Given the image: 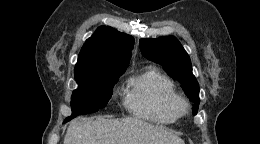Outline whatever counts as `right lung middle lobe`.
Wrapping results in <instances>:
<instances>
[{"mask_svg":"<svg viewBox=\"0 0 260 144\" xmlns=\"http://www.w3.org/2000/svg\"><path fill=\"white\" fill-rule=\"evenodd\" d=\"M124 72L125 70H121L75 76L78 88L73 91L71 97L72 115L64 122L104 108L111 98L115 83Z\"/></svg>","mask_w":260,"mask_h":144,"instance_id":"dd1d6c3e","label":"right lung middle lobe"}]
</instances>
